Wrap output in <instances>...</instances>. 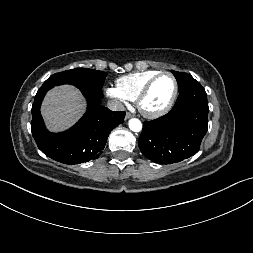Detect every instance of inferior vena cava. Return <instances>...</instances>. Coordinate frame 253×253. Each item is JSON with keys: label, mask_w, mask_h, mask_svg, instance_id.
I'll return each mask as SVG.
<instances>
[{"label": "inferior vena cava", "mask_w": 253, "mask_h": 253, "mask_svg": "<svg viewBox=\"0 0 253 253\" xmlns=\"http://www.w3.org/2000/svg\"><path fill=\"white\" fill-rule=\"evenodd\" d=\"M107 106L112 111H124V105L116 99L109 100Z\"/></svg>", "instance_id": "obj_1"}]
</instances>
